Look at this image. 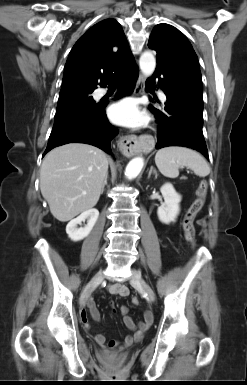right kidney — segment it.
<instances>
[{
    "label": "right kidney",
    "mask_w": 247,
    "mask_h": 385,
    "mask_svg": "<svg viewBox=\"0 0 247 385\" xmlns=\"http://www.w3.org/2000/svg\"><path fill=\"white\" fill-rule=\"evenodd\" d=\"M99 216V211L95 208L84 211L77 218L71 220L66 226V233L72 241H80L87 237L93 229ZM87 220L85 227L78 228L77 225Z\"/></svg>",
    "instance_id": "1"
}]
</instances>
